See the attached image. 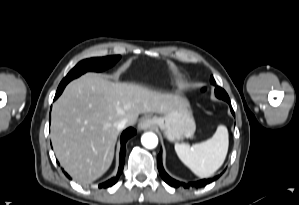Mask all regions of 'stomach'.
<instances>
[{"mask_svg":"<svg viewBox=\"0 0 299 205\" xmlns=\"http://www.w3.org/2000/svg\"><path fill=\"white\" fill-rule=\"evenodd\" d=\"M156 124L169 141H178L183 137H191L195 132V121L187 100L173 112L162 117H154Z\"/></svg>","mask_w":299,"mask_h":205,"instance_id":"obj_1","label":"stomach"}]
</instances>
